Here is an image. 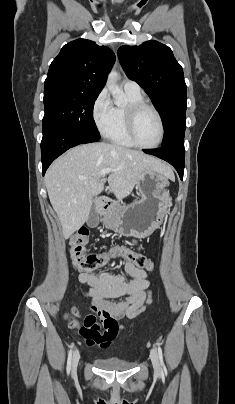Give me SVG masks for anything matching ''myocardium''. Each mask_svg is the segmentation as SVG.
<instances>
[{
  "label": "myocardium",
  "mask_w": 235,
  "mask_h": 404,
  "mask_svg": "<svg viewBox=\"0 0 235 404\" xmlns=\"http://www.w3.org/2000/svg\"><path fill=\"white\" fill-rule=\"evenodd\" d=\"M143 110H150L152 111L159 122V128H160V135L159 138L157 140V142L155 144L152 145H144L141 144L136 137V133H135V124H136V120L138 115L143 111ZM125 115H126V131H127V135L129 137V139L132 141V143L142 149H153L158 147L164 138V134H165V128H164V122L162 119V116L160 114V112L152 105L145 103V102H139V103H133V104H129L126 107L125 110Z\"/></svg>",
  "instance_id": "myocardium-1"
}]
</instances>
